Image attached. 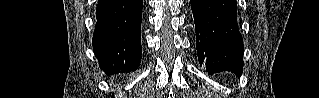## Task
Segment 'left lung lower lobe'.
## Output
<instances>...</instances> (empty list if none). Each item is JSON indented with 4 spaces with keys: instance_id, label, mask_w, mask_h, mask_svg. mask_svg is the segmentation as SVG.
<instances>
[{
    "instance_id": "1",
    "label": "left lung lower lobe",
    "mask_w": 319,
    "mask_h": 98,
    "mask_svg": "<svg viewBox=\"0 0 319 98\" xmlns=\"http://www.w3.org/2000/svg\"><path fill=\"white\" fill-rule=\"evenodd\" d=\"M199 63L209 73L243 72V41L236 0H190Z\"/></svg>"
}]
</instances>
